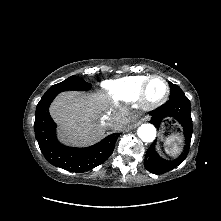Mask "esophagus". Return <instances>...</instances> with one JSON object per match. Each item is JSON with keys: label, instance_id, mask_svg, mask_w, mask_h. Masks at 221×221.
I'll use <instances>...</instances> for the list:
<instances>
[{"label": "esophagus", "instance_id": "34e87169", "mask_svg": "<svg viewBox=\"0 0 221 221\" xmlns=\"http://www.w3.org/2000/svg\"><path fill=\"white\" fill-rule=\"evenodd\" d=\"M143 121L142 120H140V121H138V123L137 124H141Z\"/></svg>", "mask_w": 221, "mask_h": 221}]
</instances>
